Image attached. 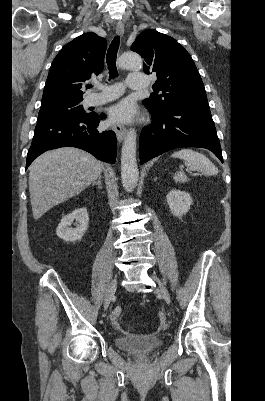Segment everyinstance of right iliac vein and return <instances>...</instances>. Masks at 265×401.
<instances>
[{
	"label": "right iliac vein",
	"mask_w": 265,
	"mask_h": 401,
	"mask_svg": "<svg viewBox=\"0 0 265 401\" xmlns=\"http://www.w3.org/2000/svg\"><path fill=\"white\" fill-rule=\"evenodd\" d=\"M116 289H117V280L114 279L110 283L109 288H108V290L106 292V295H105L104 304H103L104 311H106L108 309L109 304H110V302H111V300H112V298H113V296H114V294L116 292Z\"/></svg>",
	"instance_id": "63e3f726"
}]
</instances>
